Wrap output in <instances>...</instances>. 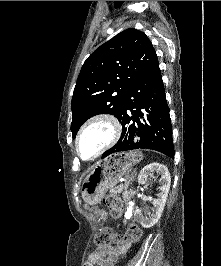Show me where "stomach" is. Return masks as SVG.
<instances>
[{
	"label": "stomach",
	"instance_id": "obj_1",
	"mask_svg": "<svg viewBox=\"0 0 221 266\" xmlns=\"http://www.w3.org/2000/svg\"><path fill=\"white\" fill-rule=\"evenodd\" d=\"M140 152L115 153L98 161L84 178L81 194L89 205L101 201L106 191L112 188L117 181L133 165L142 160Z\"/></svg>",
	"mask_w": 221,
	"mask_h": 266
}]
</instances>
